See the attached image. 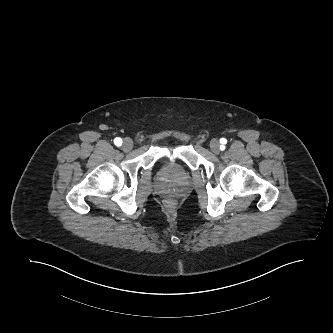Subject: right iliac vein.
Segmentation results:
<instances>
[{
  "instance_id": "right-iliac-vein-1",
  "label": "right iliac vein",
  "mask_w": 333,
  "mask_h": 333,
  "mask_svg": "<svg viewBox=\"0 0 333 333\" xmlns=\"http://www.w3.org/2000/svg\"><path fill=\"white\" fill-rule=\"evenodd\" d=\"M133 148V141L130 138H125L122 144V149L129 152Z\"/></svg>"
}]
</instances>
